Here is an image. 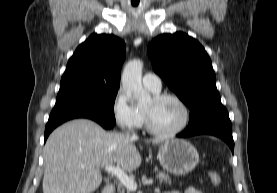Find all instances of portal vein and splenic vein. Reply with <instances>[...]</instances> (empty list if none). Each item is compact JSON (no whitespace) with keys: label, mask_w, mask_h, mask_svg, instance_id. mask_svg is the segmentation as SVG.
Segmentation results:
<instances>
[{"label":"portal vein and splenic vein","mask_w":277,"mask_h":193,"mask_svg":"<svg viewBox=\"0 0 277 193\" xmlns=\"http://www.w3.org/2000/svg\"><path fill=\"white\" fill-rule=\"evenodd\" d=\"M105 171L115 175L119 181L130 191H136L137 190V183L133 178H130L120 167L117 166H106ZM142 184L144 185H151L153 184V179H144L142 181Z\"/></svg>","instance_id":"1"}]
</instances>
